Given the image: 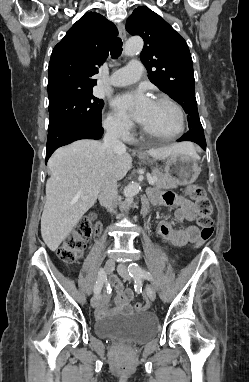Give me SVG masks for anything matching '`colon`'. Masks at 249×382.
Returning <instances> with one entry per match:
<instances>
[{
  "label": "colon",
  "instance_id": "1",
  "mask_svg": "<svg viewBox=\"0 0 249 382\" xmlns=\"http://www.w3.org/2000/svg\"><path fill=\"white\" fill-rule=\"evenodd\" d=\"M186 196L195 203L199 213L198 226L200 227V234L195 240V246L200 247L208 242L213 235V205L204 188L200 185L188 186ZM92 234L91 222L87 219L80 220L74 230L63 240L58 250L59 258L67 264L74 263L83 254L86 242L92 237ZM135 307L141 311L145 308V305L137 303Z\"/></svg>",
  "mask_w": 249,
  "mask_h": 382
}]
</instances>
